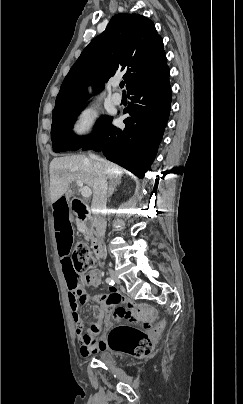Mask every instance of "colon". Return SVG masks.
<instances>
[{
	"instance_id": "obj_1",
	"label": "colon",
	"mask_w": 243,
	"mask_h": 404,
	"mask_svg": "<svg viewBox=\"0 0 243 404\" xmlns=\"http://www.w3.org/2000/svg\"><path fill=\"white\" fill-rule=\"evenodd\" d=\"M96 260L85 243H78L72 255V270L77 280L74 286L85 282L94 270ZM161 325L155 330L157 332ZM107 346L120 353H130L137 357L148 355L153 348V335L145 333L133 326L118 325L108 336Z\"/></svg>"
}]
</instances>
